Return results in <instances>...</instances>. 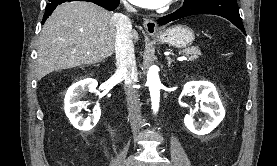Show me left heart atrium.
Here are the masks:
<instances>
[{
	"label": "left heart atrium",
	"instance_id": "39dd6f15",
	"mask_svg": "<svg viewBox=\"0 0 277 166\" xmlns=\"http://www.w3.org/2000/svg\"><path fill=\"white\" fill-rule=\"evenodd\" d=\"M131 3L149 9H157L167 5L171 0H129Z\"/></svg>",
	"mask_w": 277,
	"mask_h": 166
}]
</instances>
